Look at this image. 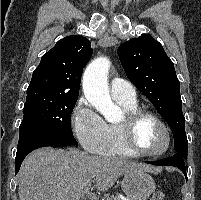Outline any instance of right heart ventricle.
I'll return each instance as SVG.
<instances>
[{"label": "right heart ventricle", "instance_id": "e07e8e85", "mask_svg": "<svg viewBox=\"0 0 201 200\" xmlns=\"http://www.w3.org/2000/svg\"><path fill=\"white\" fill-rule=\"evenodd\" d=\"M115 101L126 111L131 112L138 109L136 100L127 101L122 99H115ZM102 154L134 157L135 155L128 151L122 143L121 132L118 123L107 124V140L106 147Z\"/></svg>", "mask_w": 201, "mask_h": 200}]
</instances>
